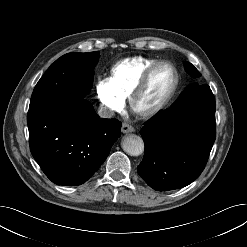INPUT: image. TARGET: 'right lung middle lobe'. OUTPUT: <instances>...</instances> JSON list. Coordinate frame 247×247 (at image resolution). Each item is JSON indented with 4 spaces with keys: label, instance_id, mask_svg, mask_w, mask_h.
Returning <instances> with one entry per match:
<instances>
[{
    "label": "right lung middle lobe",
    "instance_id": "obj_1",
    "mask_svg": "<svg viewBox=\"0 0 247 247\" xmlns=\"http://www.w3.org/2000/svg\"><path fill=\"white\" fill-rule=\"evenodd\" d=\"M99 57V51L68 53L61 56L38 81L32 93L30 106L51 98H84L91 88L93 69Z\"/></svg>",
    "mask_w": 247,
    "mask_h": 247
}]
</instances>
